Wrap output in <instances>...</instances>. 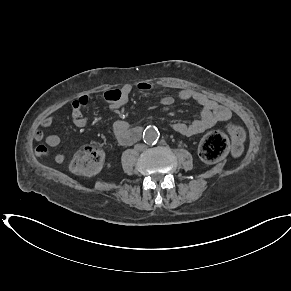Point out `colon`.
Masks as SVG:
<instances>
[{
    "mask_svg": "<svg viewBox=\"0 0 291 291\" xmlns=\"http://www.w3.org/2000/svg\"><path fill=\"white\" fill-rule=\"evenodd\" d=\"M233 141L238 144L243 140L244 133L241 127L231 124L228 127ZM229 149V140L221 132L214 131L207 134L202 140L199 148L201 158L209 163L221 160ZM40 151L44 148L40 147ZM103 161L102 150L93 145L84 146L79 149L69 162L71 172L78 175H91L95 173Z\"/></svg>",
    "mask_w": 291,
    "mask_h": 291,
    "instance_id": "5ec220e1",
    "label": "colon"
}]
</instances>
